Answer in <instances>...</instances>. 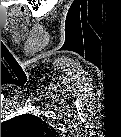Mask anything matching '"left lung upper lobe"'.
<instances>
[{
  "label": "left lung upper lobe",
  "instance_id": "left-lung-upper-lobe-1",
  "mask_svg": "<svg viewBox=\"0 0 121 137\" xmlns=\"http://www.w3.org/2000/svg\"><path fill=\"white\" fill-rule=\"evenodd\" d=\"M54 129L43 119L31 115H19L1 124V134L4 136L47 137Z\"/></svg>",
  "mask_w": 121,
  "mask_h": 137
}]
</instances>
